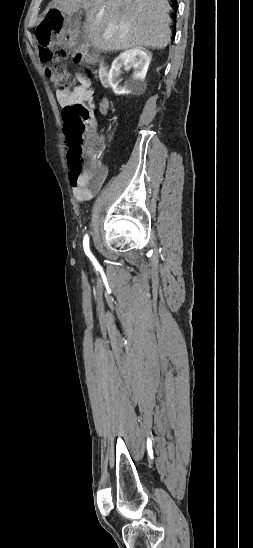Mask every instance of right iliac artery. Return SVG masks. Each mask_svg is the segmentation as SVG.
<instances>
[{"mask_svg": "<svg viewBox=\"0 0 253 548\" xmlns=\"http://www.w3.org/2000/svg\"><path fill=\"white\" fill-rule=\"evenodd\" d=\"M83 246H84V251H85L86 255L89 256L91 259H93V256H92V254L90 252V249H89V237H88L87 234L84 237Z\"/></svg>", "mask_w": 253, "mask_h": 548, "instance_id": "obj_1", "label": "right iliac artery"}]
</instances>
